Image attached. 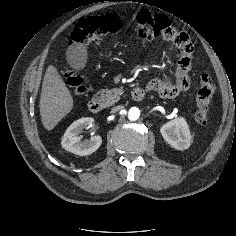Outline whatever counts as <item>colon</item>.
<instances>
[{
  "instance_id": "colon-1",
  "label": "colon",
  "mask_w": 236,
  "mask_h": 236,
  "mask_svg": "<svg viewBox=\"0 0 236 236\" xmlns=\"http://www.w3.org/2000/svg\"><path fill=\"white\" fill-rule=\"evenodd\" d=\"M133 23L138 28L139 37L143 40L163 39L178 43L183 35L176 31L164 15H154L148 11H140L133 14H103L81 19L74 27L70 44L98 42L104 36L118 32L126 23ZM65 78L77 96L85 95V87L81 76L72 69H67ZM188 85L186 81L178 82L177 88L183 91ZM215 86L207 73L200 77V86L196 94V114L198 123L207 120Z\"/></svg>"
}]
</instances>
